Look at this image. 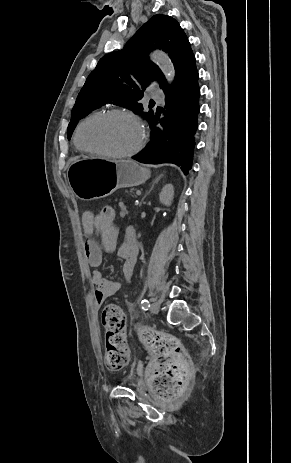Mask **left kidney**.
<instances>
[{
	"label": "left kidney",
	"mask_w": 291,
	"mask_h": 463,
	"mask_svg": "<svg viewBox=\"0 0 291 463\" xmlns=\"http://www.w3.org/2000/svg\"><path fill=\"white\" fill-rule=\"evenodd\" d=\"M174 197V187L172 184H167L162 188L161 193L159 194L160 201L165 204L166 206H170L172 204Z\"/></svg>",
	"instance_id": "1"
}]
</instances>
